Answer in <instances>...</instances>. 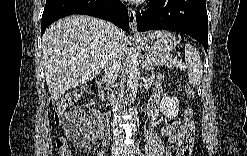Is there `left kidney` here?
Masks as SVG:
<instances>
[{
  "instance_id": "1",
  "label": "left kidney",
  "mask_w": 247,
  "mask_h": 156,
  "mask_svg": "<svg viewBox=\"0 0 247 156\" xmlns=\"http://www.w3.org/2000/svg\"><path fill=\"white\" fill-rule=\"evenodd\" d=\"M160 111L169 119H173L179 112V99L177 97H165L159 103Z\"/></svg>"
}]
</instances>
